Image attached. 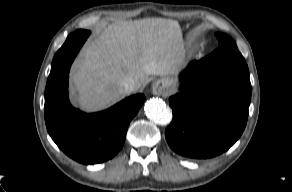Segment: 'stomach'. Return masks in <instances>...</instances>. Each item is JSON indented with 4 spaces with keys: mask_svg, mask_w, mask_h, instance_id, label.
Here are the masks:
<instances>
[{
    "mask_svg": "<svg viewBox=\"0 0 292 192\" xmlns=\"http://www.w3.org/2000/svg\"><path fill=\"white\" fill-rule=\"evenodd\" d=\"M165 88L170 92L173 93L177 87V81L173 78H165L162 80Z\"/></svg>",
    "mask_w": 292,
    "mask_h": 192,
    "instance_id": "obj_1",
    "label": "stomach"
}]
</instances>
